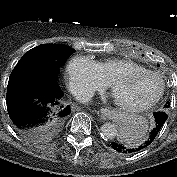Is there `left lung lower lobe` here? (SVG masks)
<instances>
[{
  "mask_svg": "<svg viewBox=\"0 0 177 177\" xmlns=\"http://www.w3.org/2000/svg\"><path fill=\"white\" fill-rule=\"evenodd\" d=\"M168 115L165 111L154 113L155 125L153 130L151 131L149 137L140 145L135 147H129L117 142H112L111 148L118 153H134L138 152L147 146H149L156 138L160 130L162 129L165 121L167 120Z\"/></svg>",
  "mask_w": 177,
  "mask_h": 177,
  "instance_id": "1",
  "label": "left lung lower lobe"
}]
</instances>
